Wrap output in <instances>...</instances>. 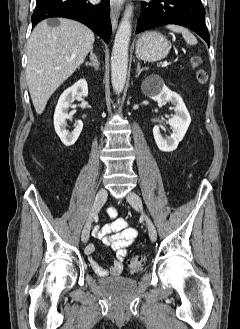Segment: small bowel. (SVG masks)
<instances>
[{"label":"small bowel","mask_w":240,"mask_h":329,"mask_svg":"<svg viewBox=\"0 0 240 329\" xmlns=\"http://www.w3.org/2000/svg\"><path fill=\"white\" fill-rule=\"evenodd\" d=\"M108 216L111 218V222L96 227L93 233L96 238L100 239L105 246L110 247L114 252L110 267H103L93 257L96 251L95 244L90 243L85 249L86 254L89 256L90 266L101 277L120 275L124 268L127 248L133 244L138 234L135 228L128 226V222L124 218L117 217V211L114 208L108 210Z\"/></svg>","instance_id":"obj_1"}]
</instances>
